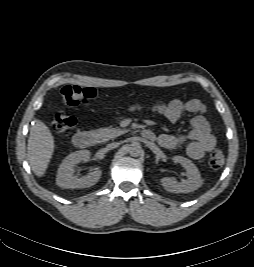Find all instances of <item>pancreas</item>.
<instances>
[{
  "mask_svg": "<svg viewBox=\"0 0 254 267\" xmlns=\"http://www.w3.org/2000/svg\"><path fill=\"white\" fill-rule=\"evenodd\" d=\"M93 133L95 134V136L100 142H106L110 139H114L118 137L119 135L123 133V131H121L120 129H116V128H100V129L94 130Z\"/></svg>",
  "mask_w": 254,
  "mask_h": 267,
  "instance_id": "cf45deb5",
  "label": "pancreas"
}]
</instances>
